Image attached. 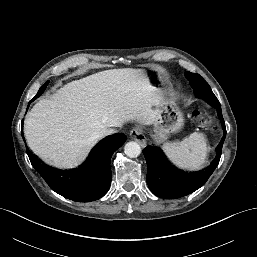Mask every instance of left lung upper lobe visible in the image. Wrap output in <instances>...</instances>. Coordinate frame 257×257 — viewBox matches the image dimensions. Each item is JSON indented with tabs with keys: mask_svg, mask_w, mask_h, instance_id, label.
<instances>
[{
	"mask_svg": "<svg viewBox=\"0 0 257 257\" xmlns=\"http://www.w3.org/2000/svg\"><path fill=\"white\" fill-rule=\"evenodd\" d=\"M185 76L190 82L191 87L197 97L207 100L213 106H219L220 103L212 92L208 83L198 74L185 72Z\"/></svg>",
	"mask_w": 257,
	"mask_h": 257,
	"instance_id": "5c2ea615",
	"label": "left lung upper lobe"
}]
</instances>
